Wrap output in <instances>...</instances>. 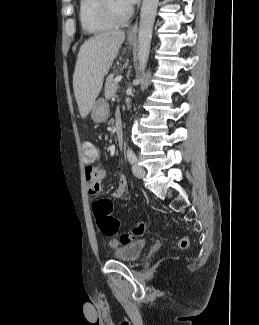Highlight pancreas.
<instances>
[{"instance_id": "cf45deb5", "label": "pancreas", "mask_w": 259, "mask_h": 325, "mask_svg": "<svg viewBox=\"0 0 259 325\" xmlns=\"http://www.w3.org/2000/svg\"><path fill=\"white\" fill-rule=\"evenodd\" d=\"M118 86L117 83L114 81V75L111 74L107 77L104 89V95L106 99H111L116 95Z\"/></svg>"}]
</instances>
